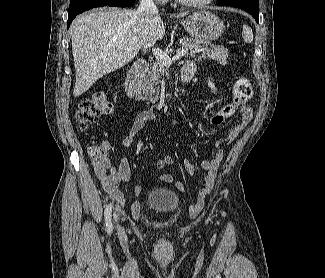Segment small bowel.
<instances>
[{"label": "small bowel", "instance_id": "obj_1", "mask_svg": "<svg viewBox=\"0 0 325 278\" xmlns=\"http://www.w3.org/2000/svg\"><path fill=\"white\" fill-rule=\"evenodd\" d=\"M185 66H192L193 76L195 74V63L193 61H187ZM241 119L240 121L232 128V130L223 138L219 139L216 143V152L211 159H206L201 162V167L206 172L203 182V187L200 190V196L204 197L207 195L214 183V179L216 177L218 168L224 158V153L222 150V146L226 144H230L239 133L248 125L250 120L252 119V109L247 105V103H243L240 105ZM210 115H214V111H210ZM156 119V115L154 112L146 110L138 113L132 122V126L130 131L121 137V144L124 147H129L132 145L135 136L144 128L147 122ZM173 124H176L173 121ZM108 147V143H104ZM174 159L171 155H164L156 162V169L163 170L166 167L170 166L173 163ZM184 167L190 174H194L196 169L194 165L189 160H184ZM95 173L100 180L102 188L107 193V195L113 199L118 205L124 207L126 205V201L124 199V195L122 190L119 188L120 182H128L131 176V169L129 160L127 157L123 156L120 158L118 167H114L111 163V160L108 156H105L103 160L96 164ZM159 179L165 183L174 182V177L171 174H162ZM177 188L185 192V186L180 181H175ZM144 189V184H138L135 187V192L140 194ZM202 203V201H200ZM132 209H135L136 205L133 204Z\"/></svg>", "mask_w": 325, "mask_h": 278}]
</instances>
